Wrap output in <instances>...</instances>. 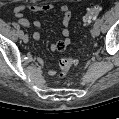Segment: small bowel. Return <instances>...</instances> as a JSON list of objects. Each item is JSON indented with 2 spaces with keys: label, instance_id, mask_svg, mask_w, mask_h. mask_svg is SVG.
I'll use <instances>...</instances> for the list:
<instances>
[{
  "label": "small bowel",
  "instance_id": "c3829d8e",
  "mask_svg": "<svg viewBox=\"0 0 119 119\" xmlns=\"http://www.w3.org/2000/svg\"><path fill=\"white\" fill-rule=\"evenodd\" d=\"M54 4L51 3H44V4H20L18 5L15 10V16L18 19V23L23 26V27H30L31 23L24 18V12L25 11H32V12H49L54 9ZM61 13L63 15L62 18V35L64 36V39L54 43L51 45V50L52 51H63L69 44H70V31H69V26L71 23V11L70 8L67 5H62L60 7ZM32 26L34 27L35 31L33 33V39L35 41H38L40 39V28H41V23L38 20H35L32 22ZM38 62L41 64L42 60L38 59ZM49 75L54 76L55 71L50 70Z\"/></svg>",
  "mask_w": 119,
  "mask_h": 119
}]
</instances>
